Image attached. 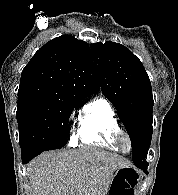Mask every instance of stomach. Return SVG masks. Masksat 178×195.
I'll return each mask as SVG.
<instances>
[{
  "mask_svg": "<svg viewBox=\"0 0 178 195\" xmlns=\"http://www.w3.org/2000/svg\"><path fill=\"white\" fill-rule=\"evenodd\" d=\"M130 167H126V168H120L118 170H116L115 174L113 175L109 190H108V195H112V194H122L124 191L122 190H115L116 188V183L120 180H124V182L127 183V180L124 179L128 173H130L132 171V169H129ZM128 188H125V190Z\"/></svg>",
  "mask_w": 178,
  "mask_h": 195,
  "instance_id": "1",
  "label": "stomach"
}]
</instances>
